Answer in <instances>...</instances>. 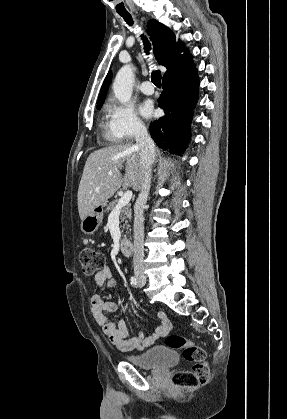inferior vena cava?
<instances>
[{
    "instance_id": "inferior-vena-cava-1",
    "label": "inferior vena cava",
    "mask_w": 287,
    "mask_h": 419,
    "mask_svg": "<svg viewBox=\"0 0 287 419\" xmlns=\"http://www.w3.org/2000/svg\"><path fill=\"white\" fill-rule=\"evenodd\" d=\"M136 145L140 147L144 166V178L134 208V274L144 277V207L151 187V170L155 160V145L143 125L135 129Z\"/></svg>"
}]
</instances>
